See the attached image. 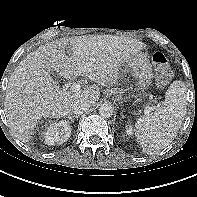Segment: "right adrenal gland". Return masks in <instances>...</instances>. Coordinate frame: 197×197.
Wrapping results in <instances>:
<instances>
[{"instance_id":"obj_1","label":"right adrenal gland","mask_w":197,"mask_h":197,"mask_svg":"<svg viewBox=\"0 0 197 197\" xmlns=\"http://www.w3.org/2000/svg\"><path fill=\"white\" fill-rule=\"evenodd\" d=\"M79 116L78 115H75V116H71L70 114L68 115V119L71 121V122H74V120L76 119V118H78Z\"/></svg>"}]
</instances>
